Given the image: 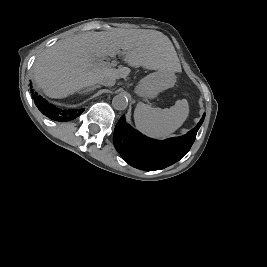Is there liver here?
I'll use <instances>...</instances> for the list:
<instances>
[{
    "mask_svg": "<svg viewBox=\"0 0 267 267\" xmlns=\"http://www.w3.org/2000/svg\"><path fill=\"white\" fill-rule=\"evenodd\" d=\"M122 50L132 67L180 71V62L170 39L155 30L86 32L59 40L36 58L32 67L37 85L51 98H64L83 87L93 86L102 77L129 75L127 67L96 64L100 58L115 57Z\"/></svg>",
    "mask_w": 267,
    "mask_h": 267,
    "instance_id": "liver-1",
    "label": "liver"
}]
</instances>
